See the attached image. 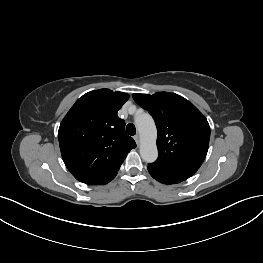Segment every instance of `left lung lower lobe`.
Wrapping results in <instances>:
<instances>
[{"label":"left lung lower lobe","instance_id":"0a47b994","mask_svg":"<svg viewBox=\"0 0 263 263\" xmlns=\"http://www.w3.org/2000/svg\"><path fill=\"white\" fill-rule=\"evenodd\" d=\"M148 171L150 173V175L156 179L157 181L164 183V184H175V183H179L182 182L183 180H179V179H174V178H169L166 176H163L155 171H153L152 169L148 168Z\"/></svg>","mask_w":263,"mask_h":263}]
</instances>
